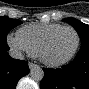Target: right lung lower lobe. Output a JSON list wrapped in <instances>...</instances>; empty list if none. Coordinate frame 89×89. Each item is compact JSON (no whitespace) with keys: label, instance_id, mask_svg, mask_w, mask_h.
<instances>
[{"label":"right lung lower lobe","instance_id":"98d812e1","mask_svg":"<svg viewBox=\"0 0 89 89\" xmlns=\"http://www.w3.org/2000/svg\"><path fill=\"white\" fill-rule=\"evenodd\" d=\"M6 42L0 44V89H15L18 81L29 73L28 62L9 56Z\"/></svg>","mask_w":89,"mask_h":89}]
</instances>
